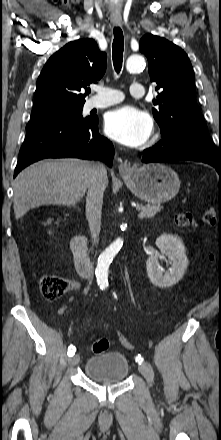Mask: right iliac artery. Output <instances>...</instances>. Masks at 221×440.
<instances>
[{"mask_svg": "<svg viewBox=\"0 0 221 440\" xmlns=\"http://www.w3.org/2000/svg\"><path fill=\"white\" fill-rule=\"evenodd\" d=\"M75 351H76L75 347H73L72 345L69 346L68 353H67L68 356H73L75 354Z\"/></svg>", "mask_w": 221, "mask_h": 440, "instance_id": "obj_1", "label": "right iliac artery"}]
</instances>
